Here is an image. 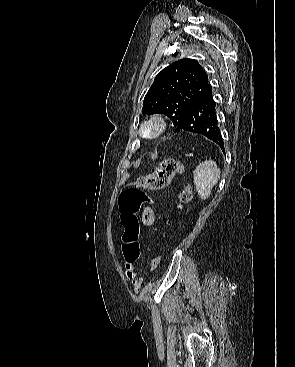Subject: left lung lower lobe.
<instances>
[{
    "label": "left lung lower lobe",
    "mask_w": 295,
    "mask_h": 367,
    "mask_svg": "<svg viewBox=\"0 0 295 367\" xmlns=\"http://www.w3.org/2000/svg\"><path fill=\"white\" fill-rule=\"evenodd\" d=\"M185 131L207 137L224 151V143L217 120L216 103L210 84L206 86L175 129V133Z\"/></svg>",
    "instance_id": "obj_1"
}]
</instances>
